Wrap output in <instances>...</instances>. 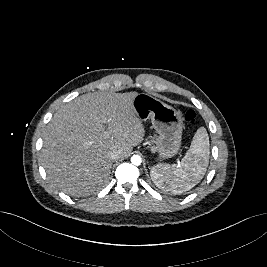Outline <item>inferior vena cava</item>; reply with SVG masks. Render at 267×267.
Instances as JSON below:
<instances>
[{
    "mask_svg": "<svg viewBox=\"0 0 267 267\" xmlns=\"http://www.w3.org/2000/svg\"><path fill=\"white\" fill-rule=\"evenodd\" d=\"M110 158L115 161L122 158V154L119 150H113L110 154Z\"/></svg>",
    "mask_w": 267,
    "mask_h": 267,
    "instance_id": "inferior-vena-cava-1",
    "label": "inferior vena cava"
}]
</instances>
